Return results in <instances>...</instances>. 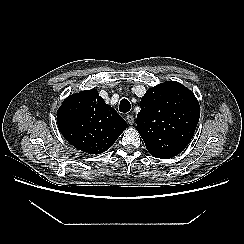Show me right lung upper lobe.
Segmentation results:
<instances>
[{
    "label": "right lung upper lobe",
    "mask_w": 244,
    "mask_h": 244,
    "mask_svg": "<svg viewBox=\"0 0 244 244\" xmlns=\"http://www.w3.org/2000/svg\"><path fill=\"white\" fill-rule=\"evenodd\" d=\"M57 124L70 144L88 154L108 150L127 127L94 89L67 97L58 109Z\"/></svg>",
    "instance_id": "obj_1"
}]
</instances>
